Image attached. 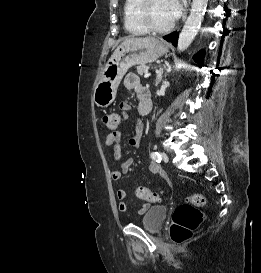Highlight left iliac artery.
<instances>
[{
  "mask_svg": "<svg viewBox=\"0 0 261 273\" xmlns=\"http://www.w3.org/2000/svg\"><path fill=\"white\" fill-rule=\"evenodd\" d=\"M151 158L156 162H161V155L158 152H152Z\"/></svg>",
  "mask_w": 261,
  "mask_h": 273,
  "instance_id": "44dca946",
  "label": "left iliac artery"
}]
</instances>
